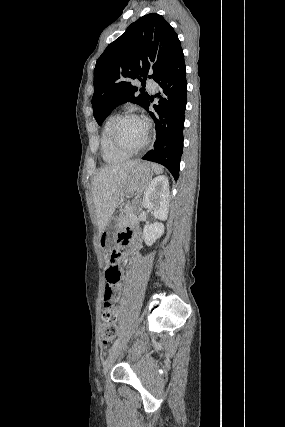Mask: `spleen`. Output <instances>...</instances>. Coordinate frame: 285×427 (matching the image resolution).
<instances>
[{
    "label": "spleen",
    "instance_id": "obj_1",
    "mask_svg": "<svg viewBox=\"0 0 285 427\" xmlns=\"http://www.w3.org/2000/svg\"><path fill=\"white\" fill-rule=\"evenodd\" d=\"M152 170L155 174H161L163 172V167L158 164H152Z\"/></svg>",
    "mask_w": 285,
    "mask_h": 427
}]
</instances>
